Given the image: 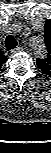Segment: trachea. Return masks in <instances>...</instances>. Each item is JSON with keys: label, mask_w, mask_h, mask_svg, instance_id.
<instances>
[{"label": "trachea", "mask_w": 51, "mask_h": 153, "mask_svg": "<svg viewBox=\"0 0 51 153\" xmlns=\"http://www.w3.org/2000/svg\"><path fill=\"white\" fill-rule=\"evenodd\" d=\"M16 46H17V41H16L15 37L12 35H8L5 39L6 49L12 50V49L16 48Z\"/></svg>", "instance_id": "1"}]
</instances>
